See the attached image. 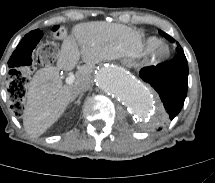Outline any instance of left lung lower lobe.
I'll return each instance as SVG.
<instances>
[{
  "mask_svg": "<svg viewBox=\"0 0 215 183\" xmlns=\"http://www.w3.org/2000/svg\"><path fill=\"white\" fill-rule=\"evenodd\" d=\"M140 77L159 94L166 117L173 119L182 109L188 89V63L184 54L169 62L145 67Z\"/></svg>",
  "mask_w": 215,
  "mask_h": 183,
  "instance_id": "1",
  "label": "left lung lower lobe"
}]
</instances>
